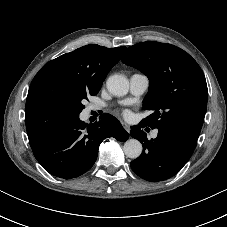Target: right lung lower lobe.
I'll list each match as a JSON object with an SVG mask.
<instances>
[{
  "mask_svg": "<svg viewBox=\"0 0 227 227\" xmlns=\"http://www.w3.org/2000/svg\"><path fill=\"white\" fill-rule=\"evenodd\" d=\"M128 139L120 122L104 113L87 125L79 117L51 131L36 146L33 154L50 174L70 179L84 174L96 161L100 143L107 137Z\"/></svg>",
  "mask_w": 227,
  "mask_h": 227,
  "instance_id": "1",
  "label": "right lung lower lobe"
}]
</instances>
